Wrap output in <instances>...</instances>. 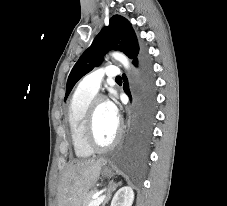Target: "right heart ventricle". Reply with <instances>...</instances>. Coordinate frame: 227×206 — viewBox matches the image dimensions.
Wrapping results in <instances>:
<instances>
[{
    "label": "right heart ventricle",
    "instance_id": "e07e8e85",
    "mask_svg": "<svg viewBox=\"0 0 227 206\" xmlns=\"http://www.w3.org/2000/svg\"><path fill=\"white\" fill-rule=\"evenodd\" d=\"M94 97V93L78 87L68 105L66 119L72 147L78 158H87L93 153L84 140V120L88 106Z\"/></svg>",
    "mask_w": 227,
    "mask_h": 206
}]
</instances>
